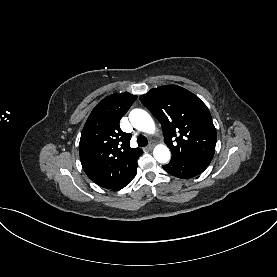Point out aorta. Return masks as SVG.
<instances>
[{
  "instance_id": "1",
  "label": "aorta",
  "mask_w": 277,
  "mask_h": 277,
  "mask_svg": "<svg viewBox=\"0 0 277 277\" xmlns=\"http://www.w3.org/2000/svg\"><path fill=\"white\" fill-rule=\"evenodd\" d=\"M129 119L134 128L142 132L152 133L155 130L153 119L142 109H133L129 114ZM153 155L159 163H167L171 157L168 147L162 144L154 148Z\"/></svg>"
}]
</instances>
